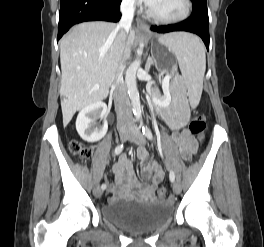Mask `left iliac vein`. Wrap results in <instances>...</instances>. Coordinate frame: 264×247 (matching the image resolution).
Listing matches in <instances>:
<instances>
[{
	"mask_svg": "<svg viewBox=\"0 0 264 247\" xmlns=\"http://www.w3.org/2000/svg\"><path fill=\"white\" fill-rule=\"evenodd\" d=\"M129 140L138 145L145 144V137L137 127L132 128ZM173 191L175 194H179L181 192V187L178 182L173 183Z\"/></svg>",
	"mask_w": 264,
	"mask_h": 247,
	"instance_id": "left-iliac-vein-1",
	"label": "left iliac vein"
}]
</instances>
